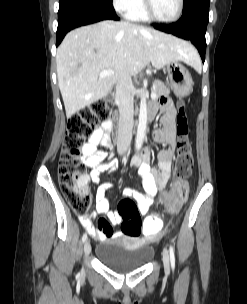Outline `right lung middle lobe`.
Wrapping results in <instances>:
<instances>
[{
    "instance_id": "1",
    "label": "right lung middle lobe",
    "mask_w": 247,
    "mask_h": 304,
    "mask_svg": "<svg viewBox=\"0 0 247 304\" xmlns=\"http://www.w3.org/2000/svg\"><path fill=\"white\" fill-rule=\"evenodd\" d=\"M97 1L112 3V0H97Z\"/></svg>"
}]
</instances>
